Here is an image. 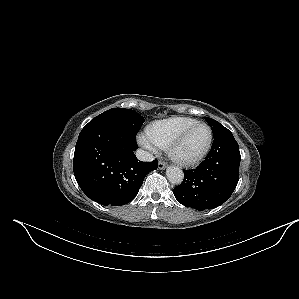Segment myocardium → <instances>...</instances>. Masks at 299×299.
<instances>
[{
    "mask_svg": "<svg viewBox=\"0 0 299 299\" xmlns=\"http://www.w3.org/2000/svg\"><path fill=\"white\" fill-rule=\"evenodd\" d=\"M200 125L205 126L209 132L208 142H207L205 148L203 149V151L193 158H183V157L179 156L178 148L180 147L182 142L185 140L186 136L190 133L191 130H193L195 127L200 126ZM212 142H213V132H212L211 127L205 122L197 121L194 124L185 128L178 136H176V138L171 142V144L168 147V154H169L170 158L177 164L182 165V166H192V165L199 163L206 157V155L208 154V152L211 149Z\"/></svg>",
    "mask_w": 299,
    "mask_h": 299,
    "instance_id": "1",
    "label": "myocardium"
}]
</instances>
